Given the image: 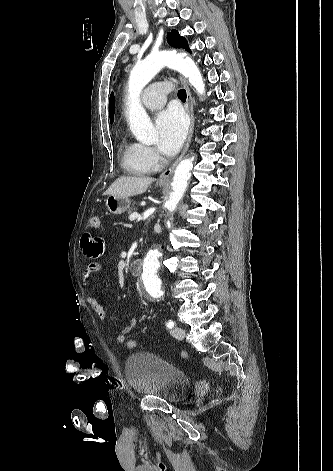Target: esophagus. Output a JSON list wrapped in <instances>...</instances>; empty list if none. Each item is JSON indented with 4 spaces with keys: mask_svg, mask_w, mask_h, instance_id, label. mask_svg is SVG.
Here are the masks:
<instances>
[{
    "mask_svg": "<svg viewBox=\"0 0 333 471\" xmlns=\"http://www.w3.org/2000/svg\"><path fill=\"white\" fill-rule=\"evenodd\" d=\"M180 81H181V84L183 85V87L185 88L186 90V94H187V101H186V110L190 116V127H189V132H188V136H187V140H186V143H185V146H184V149L181 153V155L177 158V160L168 168L166 169L160 176H159V182H168L175 167L177 166V164L179 163V161L183 158V156L185 155V153L187 152L188 148H189V145H190V142H191V139H192V135H193V130H194V122H195V117H194V112H193V99H192V95H191V92H190V89L188 87V84L186 83L185 79L183 77H180Z\"/></svg>",
    "mask_w": 333,
    "mask_h": 471,
    "instance_id": "34e87169",
    "label": "esophagus"
}]
</instances>
